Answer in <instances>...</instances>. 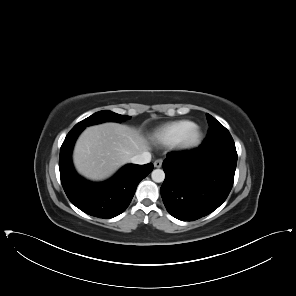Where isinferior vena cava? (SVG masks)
<instances>
[{"label":"inferior vena cava","mask_w":296,"mask_h":296,"mask_svg":"<svg viewBox=\"0 0 296 296\" xmlns=\"http://www.w3.org/2000/svg\"><path fill=\"white\" fill-rule=\"evenodd\" d=\"M151 161L150 152L144 151L141 154H137L130 159V162L133 164L143 165Z\"/></svg>","instance_id":"inferior-vena-cava-1"}]
</instances>
